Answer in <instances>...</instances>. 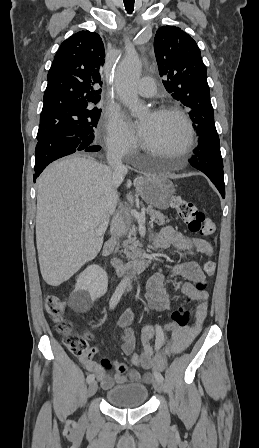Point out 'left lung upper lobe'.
<instances>
[{
    "instance_id": "1",
    "label": "left lung upper lobe",
    "mask_w": 259,
    "mask_h": 448,
    "mask_svg": "<svg viewBox=\"0 0 259 448\" xmlns=\"http://www.w3.org/2000/svg\"><path fill=\"white\" fill-rule=\"evenodd\" d=\"M154 51L163 85L171 96L190 108L198 136L217 133L207 83V69L196 42L175 26L156 32Z\"/></svg>"
}]
</instances>
